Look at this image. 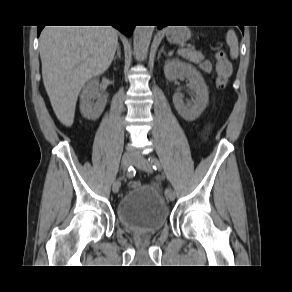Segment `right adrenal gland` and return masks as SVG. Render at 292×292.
I'll return each mask as SVG.
<instances>
[{
  "instance_id": "1",
  "label": "right adrenal gland",
  "mask_w": 292,
  "mask_h": 292,
  "mask_svg": "<svg viewBox=\"0 0 292 292\" xmlns=\"http://www.w3.org/2000/svg\"><path fill=\"white\" fill-rule=\"evenodd\" d=\"M117 57H118V58H121V49H120V45H119V43H118V45H117V53H116V55L114 56L113 60L115 61Z\"/></svg>"
}]
</instances>
